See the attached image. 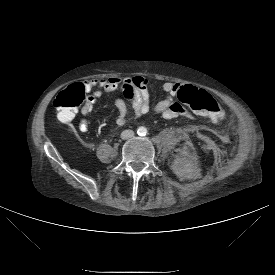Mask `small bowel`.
<instances>
[{"instance_id":"1","label":"small bowel","mask_w":275,"mask_h":275,"mask_svg":"<svg viewBox=\"0 0 275 275\" xmlns=\"http://www.w3.org/2000/svg\"><path fill=\"white\" fill-rule=\"evenodd\" d=\"M147 80L142 76L130 78L108 77L88 79L80 83L83 91L87 93L85 104L82 107V113L88 114L92 111L97 101L104 95H109L119 89H122V98H112L111 103L118 111L116 124L123 126L127 122V103L133 105L134 116L140 118L148 112L161 114L167 119L176 118L186 114L183 106L175 100L181 84L167 81L162 85L166 97L157 103L151 105L150 94ZM126 101V102H125ZM61 125V132L67 137H74L78 133V126L73 121H65ZM79 128L86 131L89 128V122L82 119Z\"/></svg>"}]
</instances>
